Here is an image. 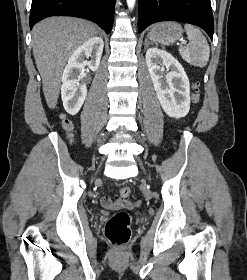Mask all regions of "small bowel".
Listing matches in <instances>:
<instances>
[{"label":"small bowel","instance_id":"1","mask_svg":"<svg viewBox=\"0 0 247 280\" xmlns=\"http://www.w3.org/2000/svg\"><path fill=\"white\" fill-rule=\"evenodd\" d=\"M101 204H102V206H104L106 208H109V209H115V208H118V207L130 208V207L133 206V204L130 203V202L120 201L118 199L117 200H112L109 197H103L101 199Z\"/></svg>","mask_w":247,"mask_h":280}]
</instances>
